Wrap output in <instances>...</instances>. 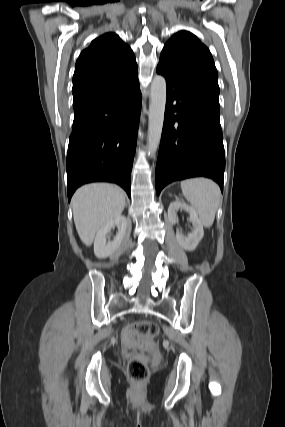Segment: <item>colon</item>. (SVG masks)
Returning a JSON list of instances; mask_svg holds the SVG:
<instances>
[{"mask_svg": "<svg viewBox=\"0 0 285 427\" xmlns=\"http://www.w3.org/2000/svg\"><path fill=\"white\" fill-rule=\"evenodd\" d=\"M159 328L152 321H138L128 325L123 331L125 347L136 350L129 360L127 372L135 384L143 383L149 374L147 362L151 352L155 350V338Z\"/></svg>", "mask_w": 285, "mask_h": 427, "instance_id": "5ec220e1", "label": "colon"}]
</instances>
